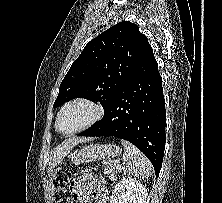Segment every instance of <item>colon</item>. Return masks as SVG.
<instances>
[{
  "label": "colon",
  "instance_id": "obj_1",
  "mask_svg": "<svg viewBox=\"0 0 222 203\" xmlns=\"http://www.w3.org/2000/svg\"><path fill=\"white\" fill-rule=\"evenodd\" d=\"M73 182L70 173L65 169H58L53 178V191L56 203H73L71 192Z\"/></svg>",
  "mask_w": 222,
  "mask_h": 203
}]
</instances>
